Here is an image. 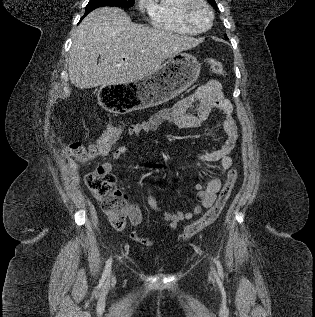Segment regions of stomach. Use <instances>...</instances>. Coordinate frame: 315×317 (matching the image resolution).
I'll return each instance as SVG.
<instances>
[{
	"label": "stomach",
	"mask_w": 315,
	"mask_h": 317,
	"mask_svg": "<svg viewBox=\"0 0 315 317\" xmlns=\"http://www.w3.org/2000/svg\"><path fill=\"white\" fill-rule=\"evenodd\" d=\"M201 64L189 53L169 58L155 73L132 84H105L100 88L101 103L112 114H129L158 106L187 90L199 77Z\"/></svg>",
	"instance_id": "obj_1"
}]
</instances>
